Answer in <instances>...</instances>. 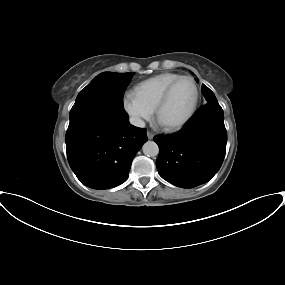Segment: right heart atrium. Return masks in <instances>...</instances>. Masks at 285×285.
<instances>
[{"label":"right heart atrium","mask_w":285,"mask_h":285,"mask_svg":"<svg viewBox=\"0 0 285 285\" xmlns=\"http://www.w3.org/2000/svg\"><path fill=\"white\" fill-rule=\"evenodd\" d=\"M122 107L131 121L137 126L142 125L144 121L150 120L153 115V110L142 104L132 93H126L123 96Z\"/></svg>","instance_id":"d8ad5b80"}]
</instances>
